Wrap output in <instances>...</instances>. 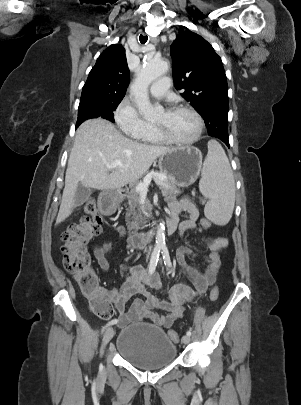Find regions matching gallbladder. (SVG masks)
Masks as SVG:
<instances>
[{"label": "gallbladder", "instance_id": "bac80fb5", "mask_svg": "<svg viewBox=\"0 0 301 405\" xmlns=\"http://www.w3.org/2000/svg\"><path fill=\"white\" fill-rule=\"evenodd\" d=\"M91 194V188L84 187L81 184L78 186L75 196H74V204L75 206H81L86 200H88Z\"/></svg>", "mask_w": 301, "mask_h": 405}]
</instances>
